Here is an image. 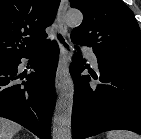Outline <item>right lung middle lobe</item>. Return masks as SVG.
<instances>
[{
	"instance_id": "1",
	"label": "right lung middle lobe",
	"mask_w": 141,
	"mask_h": 139,
	"mask_svg": "<svg viewBox=\"0 0 141 139\" xmlns=\"http://www.w3.org/2000/svg\"><path fill=\"white\" fill-rule=\"evenodd\" d=\"M9 61H10V59L0 58V64L6 63V62H9Z\"/></svg>"
}]
</instances>
